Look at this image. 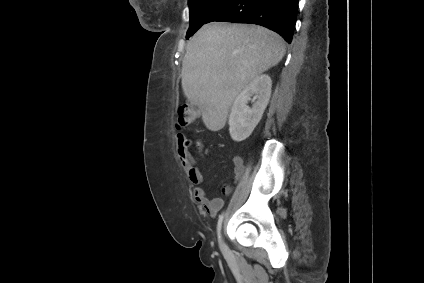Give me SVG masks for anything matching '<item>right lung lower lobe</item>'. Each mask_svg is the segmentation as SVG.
<instances>
[{"label":"right lung lower lobe","instance_id":"1","mask_svg":"<svg viewBox=\"0 0 424 283\" xmlns=\"http://www.w3.org/2000/svg\"><path fill=\"white\" fill-rule=\"evenodd\" d=\"M298 0H229L207 21L250 23L279 33L288 43L295 29Z\"/></svg>","mask_w":424,"mask_h":283}]
</instances>
